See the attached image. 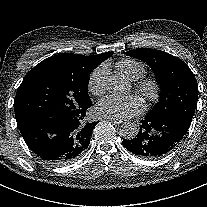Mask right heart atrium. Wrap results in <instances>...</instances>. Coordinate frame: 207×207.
Masks as SVG:
<instances>
[{"instance_id": "right-heart-atrium-1", "label": "right heart atrium", "mask_w": 207, "mask_h": 207, "mask_svg": "<svg viewBox=\"0 0 207 207\" xmlns=\"http://www.w3.org/2000/svg\"><path fill=\"white\" fill-rule=\"evenodd\" d=\"M109 73V64L103 62L93 69L89 76V90L96 96H101L106 91L107 77Z\"/></svg>"}]
</instances>
